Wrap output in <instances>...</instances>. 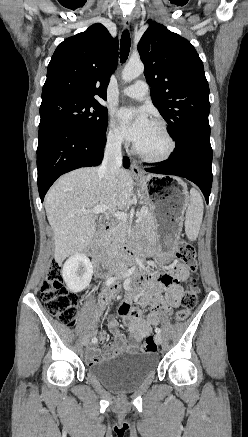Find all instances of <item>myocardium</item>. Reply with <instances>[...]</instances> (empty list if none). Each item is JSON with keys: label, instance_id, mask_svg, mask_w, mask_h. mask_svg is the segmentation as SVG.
I'll use <instances>...</instances> for the list:
<instances>
[{"label": "myocardium", "instance_id": "obj_1", "mask_svg": "<svg viewBox=\"0 0 248 437\" xmlns=\"http://www.w3.org/2000/svg\"><path fill=\"white\" fill-rule=\"evenodd\" d=\"M152 124H154L160 128V130L163 132V134L168 142V148L165 151V153H163L162 155L157 156V157L149 156V155H146L145 153H143L142 151H140L136 147V145H134L133 150H134L135 154L140 159H142L143 161H145L147 163H153V164L162 163V162L169 160L172 157V155L174 154L175 149H176V142H175L171 132L169 131V129L164 121L159 120V119H154L152 121Z\"/></svg>", "mask_w": 248, "mask_h": 437}]
</instances>
